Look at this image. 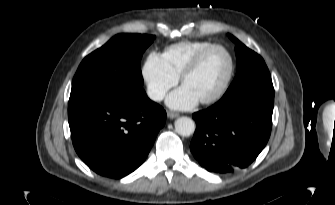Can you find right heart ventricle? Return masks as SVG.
Wrapping results in <instances>:
<instances>
[{
  "label": "right heart ventricle",
  "instance_id": "1",
  "mask_svg": "<svg viewBox=\"0 0 335 205\" xmlns=\"http://www.w3.org/2000/svg\"><path fill=\"white\" fill-rule=\"evenodd\" d=\"M212 44L209 41H181L167 46L161 56L168 68L179 77L193 58Z\"/></svg>",
  "mask_w": 335,
  "mask_h": 205
}]
</instances>
